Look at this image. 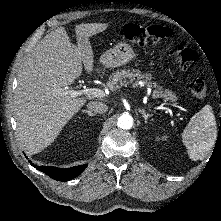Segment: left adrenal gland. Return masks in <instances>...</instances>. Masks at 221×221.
Here are the masks:
<instances>
[{"label":"left adrenal gland","mask_w":221,"mask_h":221,"mask_svg":"<svg viewBox=\"0 0 221 221\" xmlns=\"http://www.w3.org/2000/svg\"><path fill=\"white\" fill-rule=\"evenodd\" d=\"M139 112L142 113V115H143V117L145 119V123H147L148 118L152 117V114L146 113L144 109L139 110Z\"/></svg>","instance_id":"left-adrenal-gland-1"}]
</instances>
